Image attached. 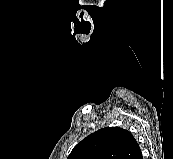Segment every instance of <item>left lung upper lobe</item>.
I'll return each instance as SVG.
<instances>
[{"instance_id":"5c2ea615","label":"left lung upper lobe","mask_w":173,"mask_h":159,"mask_svg":"<svg viewBox=\"0 0 173 159\" xmlns=\"http://www.w3.org/2000/svg\"><path fill=\"white\" fill-rule=\"evenodd\" d=\"M140 151L129 131L106 127L79 142L67 159H135Z\"/></svg>"}]
</instances>
